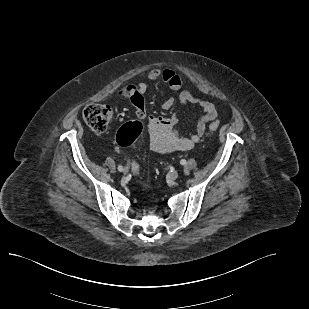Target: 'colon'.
<instances>
[{
    "instance_id": "1",
    "label": "colon",
    "mask_w": 309,
    "mask_h": 309,
    "mask_svg": "<svg viewBox=\"0 0 309 309\" xmlns=\"http://www.w3.org/2000/svg\"><path fill=\"white\" fill-rule=\"evenodd\" d=\"M113 112L111 108L104 104H90L83 110V118L86 124L97 133L106 132L111 124ZM219 127L217 122L210 124V131H216ZM143 124L141 121H131L126 123L117 134V142L120 146L126 147L131 145L142 133ZM132 171L134 174L139 172V164L132 162Z\"/></svg>"
}]
</instances>
